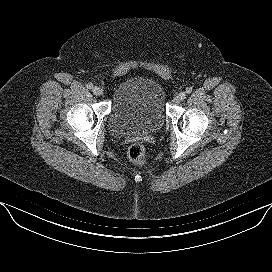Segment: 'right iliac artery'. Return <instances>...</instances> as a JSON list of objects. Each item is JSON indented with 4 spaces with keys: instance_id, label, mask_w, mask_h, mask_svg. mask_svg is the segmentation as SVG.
Wrapping results in <instances>:
<instances>
[{
    "instance_id": "82829eb1",
    "label": "right iliac artery",
    "mask_w": 272,
    "mask_h": 272,
    "mask_svg": "<svg viewBox=\"0 0 272 272\" xmlns=\"http://www.w3.org/2000/svg\"><path fill=\"white\" fill-rule=\"evenodd\" d=\"M86 86H87L88 89H92L93 88V84L92 83H88Z\"/></svg>"
}]
</instances>
